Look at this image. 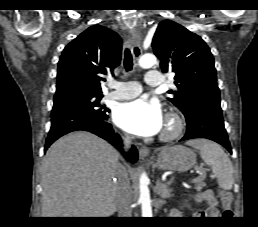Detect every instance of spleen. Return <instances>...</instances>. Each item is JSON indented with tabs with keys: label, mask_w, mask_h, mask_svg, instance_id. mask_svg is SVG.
<instances>
[{
	"label": "spleen",
	"mask_w": 258,
	"mask_h": 227,
	"mask_svg": "<svg viewBox=\"0 0 258 227\" xmlns=\"http://www.w3.org/2000/svg\"><path fill=\"white\" fill-rule=\"evenodd\" d=\"M186 144L200 151L201 158L217 177L219 187L231 190L234 183L233 166L221 146L207 139H194Z\"/></svg>",
	"instance_id": "spleen-1"
}]
</instances>
